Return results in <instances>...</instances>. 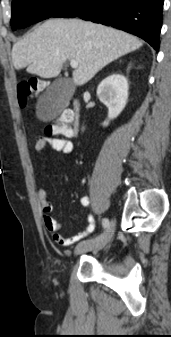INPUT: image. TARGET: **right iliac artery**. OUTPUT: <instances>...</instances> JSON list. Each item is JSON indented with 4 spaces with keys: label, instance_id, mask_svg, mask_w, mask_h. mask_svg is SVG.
<instances>
[{
    "label": "right iliac artery",
    "instance_id": "right-iliac-artery-1",
    "mask_svg": "<svg viewBox=\"0 0 171 337\" xmlns=\"http://www.w3.org/2000/svg\"><path fill=\"white\" fill-rule=\"evenodd\" d=\"M102 225H103V228H107L109 226V220L107 218H104L102 220Z\"/></svg>",
    "mask_w": 171,
    "mask_h": 337
}]
</instances>
